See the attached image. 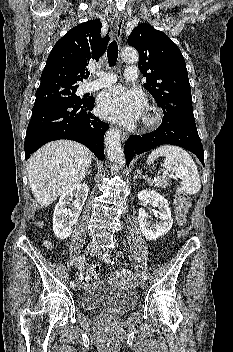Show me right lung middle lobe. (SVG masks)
I'll return each instance as SVG.
<instances>
[{"instance_id":"dd1d6c3e","label":"right lung middle lobe","mask_w":233,"mask_h":352,"mask_svg":"<svg viewBox=\"0 0 233 352\" xmlns=\"http://www.w3.org/2000/svg\"><path fill=\"white\" fill-rule=\"evenodd\" d=\"M77 88L78 86L71 85H47L39 87L36 91L34 105L80 101V97L75 94Z\"/></svg>"}]
</instances>
